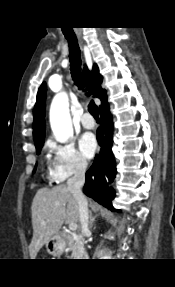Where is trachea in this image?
<instances>
[{"instance_id":"obj_1","label":"trachea","mask_w":175,"mask_h":287,"mask_svg":"<svg viewBox=\"0 0 175 287\" xmlns=\"http://www.w3.org/2000/svg\"><path fill=\"white\" fill-rule=\"evenodd\" d=\"M68 45H69V51H70V65H71V73L73 80L75 84L79 87V89H82L84 87L82 75H81V58H80V49L77 42L76 37H70L65 36ZM88 110L90 114L95 118V120H99V113H98V107L92 100L88 106Z\"/></svg>"}]
</instances>
